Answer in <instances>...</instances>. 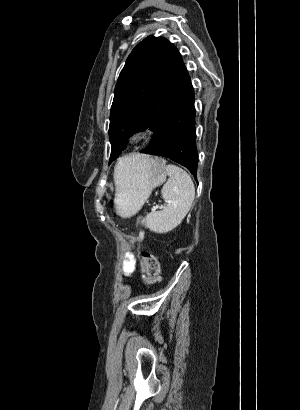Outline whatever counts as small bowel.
I'll return each mask as SVG.
<instances>
[{"label":"small bowel","mask_w":300,"mask_h":410,"mask_svg":"<svg viewBox=\"0 0 300 410\" xmlns=\"http://www.w3.org/2000/svg\"><path fill=\"white\" fill-rule=\"evenodd\" d=\"M143 236V233H141L139 235V237L141 238ZM136 268V259L134 257V255L130 252L125 253L124 255V260L122 262V273L125 277H130Z\"/></svg>","instance_id":"small-bowel-1"}]
</instances>
